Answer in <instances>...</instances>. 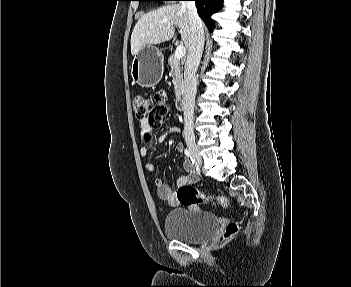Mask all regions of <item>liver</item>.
I'll list each match as a JSON object with an SVG mask.
<instances>
[{"label":"liver","mask_w":351,"mask_h":287,"mask_svg":"<svg viewBox=\"0 0 351 287\" xmlns=\"http://www.w3.org/2000/svg\"><path fill=\"white\" fill-rule=\"evenodd\" d=\"M175 27L180 29L182 45L188 50L192 28L187 9L182 4L163 6L144 14L137 21L131 35V54L136 55L145 45H157L171 40Z\"/></svg>","instance_id":"obj_1"}]
</instances>
